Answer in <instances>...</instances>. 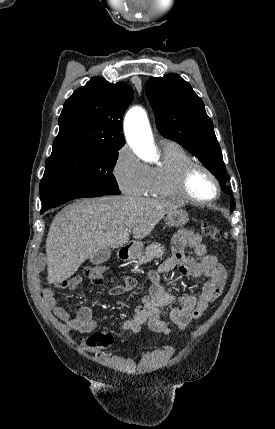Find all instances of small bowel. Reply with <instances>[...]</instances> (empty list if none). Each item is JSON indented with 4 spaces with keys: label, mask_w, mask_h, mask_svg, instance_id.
<instances>
[{
    "label": "small bowel",
    "mask_w": 275,
    "mask_h": 429,
    "mask_svg": "<svg viewBox=\"0 0 275 429\" xmlns=\"http://www.w3.org/2000/svg\"><path fill=\"white\" fill-rule=\"evenodd\" d=\"M194 250V257L187 255L186 247ZM177 268L180 275L190 278H204L201 292L196 295L175 297L166 292L160 283V275ZM152 285L149 294L143 296L131 316L118 323L123 331L138 335L141 326L146 324L150 330L170 334L169 321L180 330L185 329L193 320L198 319L209 305L219 298L224 290L227 273L217 258L209 254L199 233L191 230H180L172 241V255L166 259L157 270L149 272ZM80 276H73L63 282V286L75 289L81 283ZM135 286L132 277L125 276L122 281L113 286L109 292L112 295L122 294ZM43 302L53 314L69 328L88 334L97 327L92 309L81 307L75 316H71L59 305L50 287L43 289ZM175 306H172L173 304Z\"/></svg>",
    "instance_id": "obj_1"
}]
</instances>
